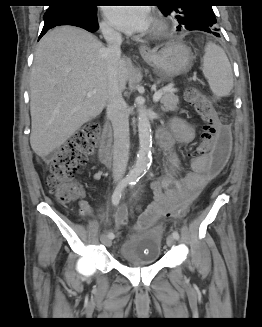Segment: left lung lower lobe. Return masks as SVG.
<instances>
[{
    "label": "left lung lower lobe",
    "mask_w": 262,
    "mask_h": 327,
    "mask_svg": "<svg viewBox=\"0 0 262 327\" xmlns=\"http://www.w3.org/2000/svg\"><path fill=\"white\" fill-rule=\"evenodd\" d=\"M216 36H220L219 33L218 34H215Z\"/></svg>",
    "instance_id": "obj_1"
}]
</instances>
